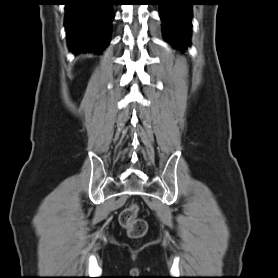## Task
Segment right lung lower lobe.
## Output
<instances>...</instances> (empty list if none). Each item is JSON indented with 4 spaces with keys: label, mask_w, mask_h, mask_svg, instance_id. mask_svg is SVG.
<instances>
[{
    "label": "right lung lower lobe",
    "mask_w": 278,
    "mask_h": 278,
    "mask_svg": "<svg viewBox=\"0 0 278 278\" xmlns=\"http://www.w3.org/2000/svg\"><path fill=\"white\" fill-rule=\"evenodd\" d=\"M65 27L73 53L99 52L110 41L113 0H65Z\"/></svg>",
    "instance_id": "right-lung-lower-lobe-1"
}]
</instances>
